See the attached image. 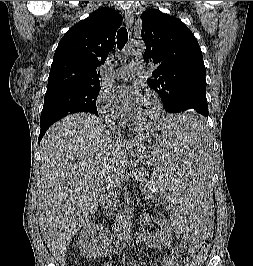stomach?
<instances>
[{"label":"stomach","mask_w":253,"mask_h":266,"mask_svg":"<svg viewBox=\"0 0 253 266\" xmlns=\"http://www.w3.org/2000/svg\"><path fill=\"white\" fill-rule=\"evenodd\" d=\"M158 145H161L160 135H155L154 140L146 138L137 143L131 148L133 156L144 165H151V160L154 159V150H158Z\"/></svg>","instance_id":"0dacf381"}]
</instances>
